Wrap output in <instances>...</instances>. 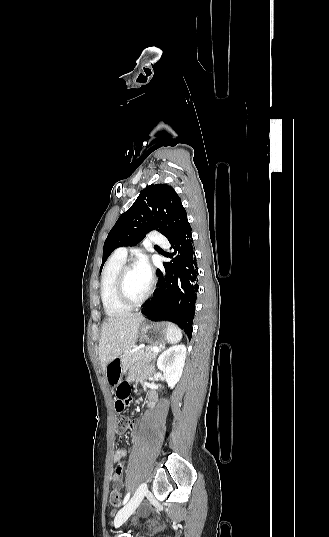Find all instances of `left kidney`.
Listing matches in <instances>:
<instances>
[{"mask_svg": "<svg viewBox=\"0 0 329 537\" xmlns=\"http://www.w3.org/2000/svg\"><path fill=\"white\" fill-rule=\"evenodd\" d=\"M186 347L175 345L166 349L157 360V367L164 372L165 380L171 389L177 384L182 375L185 359Z\"/></svg>", "mask_w": 329, "mask_h": 537, "instance_id": "5707ae66", "label": "left kidney"}]
</instances>
